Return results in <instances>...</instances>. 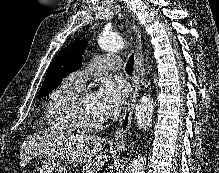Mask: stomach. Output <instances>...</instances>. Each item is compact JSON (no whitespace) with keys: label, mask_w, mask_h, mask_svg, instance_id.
Segmentation results:
<instances>
[{"label":"stomach","mask_w":219,"mask_h":173,"mask_svg":"<svg viewBox=\"0 0 219 173\" xmlns=\"http://www.w3.org/2000/svg\"><path fill=\"white\" fill-rule=\"evenodd\" d=\"M41 173H68L58 157H47L42 162Z\"/></svg>","instance_id":"stomach-1"}]
</instances>
